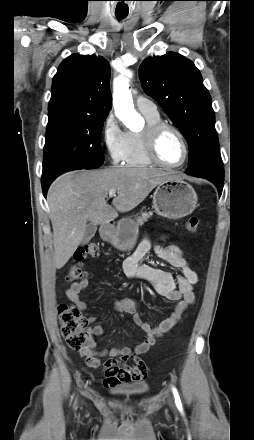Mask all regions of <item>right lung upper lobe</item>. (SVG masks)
<instances>
[{"mask_svg":"<svg viewBox=\"0 0 254 440\" xmlns=\"http://www.w3.org/2000/svg\"><path fill=\"white\" fill-rule=\"evenodd\" d=\"M110 67L103 57L73 54L53 77L49 113L69 109L94 116H107L112 106Z\"/></svg>","mask_w":254,"mask_h":440,"instance_id":"1","label":"right lung upper lobe"}]
</instances>
